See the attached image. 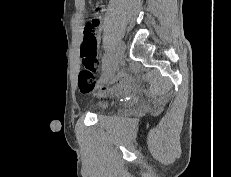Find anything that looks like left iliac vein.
I'll return each instance as SVG.
<instances>
[{"label": "left iliac vein", "mask_w": 231, "mask_h": 177, "mask_svg": "<svg viewBox=\"0 0 231 177\" xmlns=\"http://www.w3.org/2000/svg\"><path fill=\"white\" fill-rule=\"evenodd\" d=\"M125 52V44L123 41L119 42L116 48L114 49V53L112 56V65L109 68L108 74L105 77V80H108L118 67L119 63L121 62L123 55Z\"/></svg>", "instance_id": "1"}]
</instances>
